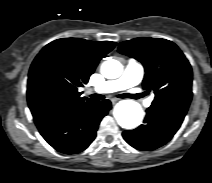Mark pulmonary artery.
Returning a JSON list of instances; mask_svg holds the SVG:
<instances>
[{
    "label": "pulmonary artery",
    "instance_id": "e3ab8cb5",
    "mask_svg": "<svg viewBox=\"0 0 212 183\" xmlns=\"http://www.w3.org/2000/svg\"><path fill=\"white\" fill-rule=\"evenodd\" d=\"M144 76V67L136 60H129L120 77L114 80L105 81L95 88L98 93H112L136 86ZM151 100L145 101V106L149 107Z\"/></svg>",
    "mask_w": 212,
    "mask_h": 183
}]
</instances>
